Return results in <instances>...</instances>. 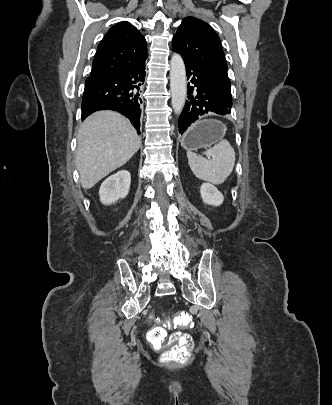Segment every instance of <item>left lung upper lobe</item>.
Here are the masks:
<instances>
[{
  "label": "left lung upper lobe",
  "instance_id": "left-lung-upper-lobe-1",
  "mask_svg": "<svg viewBox=\"0 0 332 405\" xmlns=\"http://www.w3.org/2000/svg\"><path fill=\"white\" fill-rule=\"evenodd\" d=\"M172 49L205 72L218 88L224 104L232 107L230 80L220 39L206 22L195 18L183 19L172 40Z\"/></svg>",
  "mask_w": 332,
  "mask_h": 405
}]
</instances>
